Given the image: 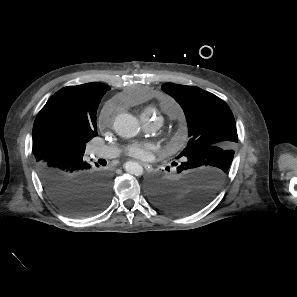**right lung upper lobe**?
<instances>
[{"label": "right lung upper lobe", "instance_id": "right-lung-upper-lobe-1", "mask_svg": "<svg viewBox=\"0 0 297 297\" xmlns=\"http://www.w3.org/2000/svg\"><path fill=\"white\" fill-rule=\"evenodd\" d=\"M108 90V85L92 82L64 87L49 98L33 126V153L37 165L53 154H84L85 149L76 148H85V143L97 135L96 112ZM62 138L69 139L74 147L61 149L59 141Z\"/></svg>", "mask_w": 297, "mask_h": 297}]
</instances>
